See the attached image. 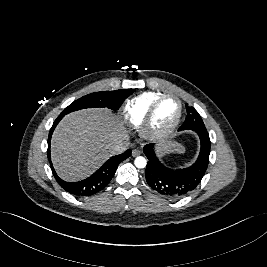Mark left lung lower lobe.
I'll list each match as a JSON object with an SVG mask.
<instances>
[{"instance_id": "0a47b994", "label": "left lung lower lobe", "mask_w": 267, "mask_h": 267, "mask_svg": "<svg viewBox=\"0 0 267 267\" xmlns=\"http://www.w3.org/2000/svg\"><path fill=\"white\" fill-rule=\"evenodd\" d=\"M199 136L201 149L196 162L183 169L164 166L155 153L153 144L145 145L148 158L146 181L159 194L169 198H180L192 192L201 182L209 163L210 138L205 129H193Z\"/></svg>"}]
</instances>
